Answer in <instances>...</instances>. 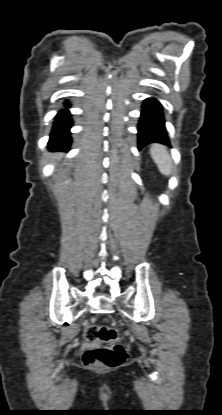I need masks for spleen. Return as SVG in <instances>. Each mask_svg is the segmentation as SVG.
Here are the masks:
<instances>
[{"instance_id": "spleen-1", "label": "spleen", "mask_w": 222, "mask_h": 415, "mask_svg": "<svg viewBox=\"0 0 222 415\" xmlns=\"http://www.w3.org/2000/svg\"><path fill=\"white\" fill-rule=\"evenodd\" d=\"M150 154L159 171L163 175L169 176L172 172V159L165 146L153 144L150 148Z\"/></svg>"}]
</instances>
